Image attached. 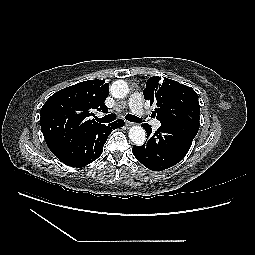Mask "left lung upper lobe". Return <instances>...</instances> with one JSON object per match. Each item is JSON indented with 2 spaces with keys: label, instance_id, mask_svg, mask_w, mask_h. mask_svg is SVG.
Returning a JSON list of instances; mask_svg holds the SVG:
<instances>
[{
  "label": "left lung upper lobe",
  "instance_id": "obj_1",
  "mask_svg": "<svg viewBox=\"0 0 255 255\" xmlns=\"http://www.w3.org/2000/svg\"><path fill=\"white\" fill-rule=\"evenodd\" d=\"M143 94L157 105L153 114L161 123L199 127L200 106L193 88L168 78L151 77Z\"/></svg>",
  "mask_w": 255,
  "mask_h": 255
}]
</instances>
